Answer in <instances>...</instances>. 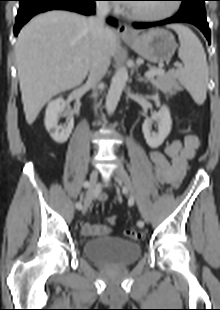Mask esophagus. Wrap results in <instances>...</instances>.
Listing matches in <instances>:
<instances>
[{"mask_svg":"<svg viewBox=\"0 0 220 310\" xmlns=\"http://www.w3.org/2000/svg\"><path fill=\"white\" fill-rule=\"evenodd\" d=\"M117 32L120 36H132L133 35L132 29L125 23H121L119 25Z\"/></svg>","mask_w":220,"mask_h":310,"instance_id":"obj_1","label":"esophagus"}]
</instances>
